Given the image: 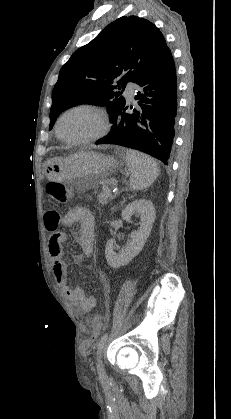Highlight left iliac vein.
I'll return each instance as SVG.
<instances>
[{
	"label": "left iliac vein",
	"instance_id": "left-iliac-vein-1",
	"mask_svg": "<svg viewBox=\"0 0 231 419\" xmlns=\"http://www.w3.org/2000/svg\"><path fill=\"white\" fill-rule=\"evenodd\" d=\"M97 367H98V370L100 372H103V362H102V352L101 351L98 353Z\"/></svg>",
	"mask_w": 231,
	"mask_h": 419
}]
</instances>
